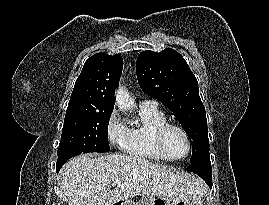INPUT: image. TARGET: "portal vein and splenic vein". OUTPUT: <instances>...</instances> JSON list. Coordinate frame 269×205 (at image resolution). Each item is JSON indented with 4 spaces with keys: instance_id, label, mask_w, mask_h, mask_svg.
<instances>
[{
    "instance_id": "obj_1",
    "label": "portal vein and splenic vein",
    "mask_w": 269,
    "mask_h": 205,
    "mask_svg": "<svg viewBox=\"0 0 269 205\" xmlns=\"http://www.w3.org/2000/svg\"><path fill=\"white\" fill-rule=\"evenodd\" d=\"M120 183H121V179H118V178L113 181V185H117Z\"/></svg>"
}]
</instances>
